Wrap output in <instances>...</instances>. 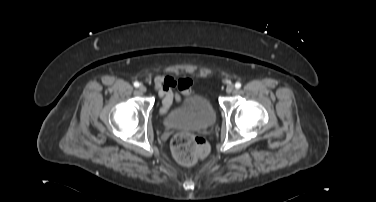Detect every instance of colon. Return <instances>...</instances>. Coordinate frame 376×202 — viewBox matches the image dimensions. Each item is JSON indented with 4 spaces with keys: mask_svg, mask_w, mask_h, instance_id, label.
Segmentation results:
<instances>
[{
    "mask_svg": "<svg viewBox=\"0 0 376 202\" xmlns=\"http://www.w3.org/2000/svg\"><path fill=\"white\" fill-rule=\"evenodd\" d=\"M171 149L174 158L182 164H194L204 160L209 147L206 141L197 135L190 133H179L171 142Z\"/></svg>",
    "mask_w": 376,
    "mask_h": 202,
    "instance_id": "colon-1",
    "label": "colon"
}]
</instances>
